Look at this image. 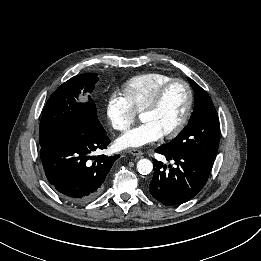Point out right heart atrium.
<instances>
[{
	"instance_id": "right-heart-atrium-1",
	"label": "right heart atrium",
	"mask_w": 261,
	"mask_h": 261,
	"mask_svg": "<svg viewBox=\"0 0 261 261\" xmlns=\"http://www.w3.org/2000/svg\"><path fill=\"white\" fill-rule=\"evenodd\" d=\"M106 114L111 127L122 132L126 131L136 118V112L120 93H114L109 97Z\"/></svg>"
}]
</instances>
